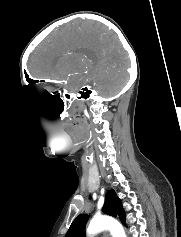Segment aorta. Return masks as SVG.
<instances>
[{
    "instance_id": "1",
    "label": "aorta",
    "mask_w": 181,
    "mask_h": 237,
    "mask_svg": "<svg viewBox=\"0 0 181 237\" xmlns=\"http://www.w3.org/2000/svg\"><path fill=\"white\" fill-rule=\"evenodd\" d=\"M104 230H109L112 237H126L122 225L117 220L109 216L94 217L87 228V235L91 237Z\"/></svg>"
}]
</instances>
